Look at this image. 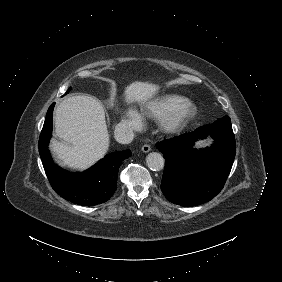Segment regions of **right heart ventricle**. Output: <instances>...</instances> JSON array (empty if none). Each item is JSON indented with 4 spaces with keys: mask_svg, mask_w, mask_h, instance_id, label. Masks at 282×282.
Segmentation results:
<instances>
[{
    "mask_svg": "<svg viewBox=\"0 0 282 282\" xmlns=\"http://www.w3.org/2000/svg\"><path fill=\"white\" fill-rule=\"evenodd\" d=\"M182 103L180 98H166L160 101L154 107V111L158 114H169L176 110Z\"/></svg>",
    "mask_w": 282,
    "mask_h": 282,
    "instance_id": "right-heart-ventricle-1",
    "label": "right heart ventricle"
}]
</instances>
